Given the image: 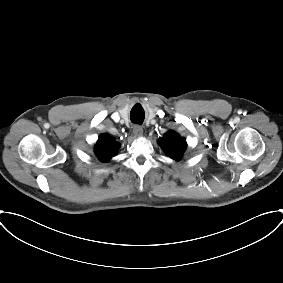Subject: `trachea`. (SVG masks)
<instances>
[{
    "label": "trachea",
    "mask_w": 283,
    "mask_h": 283,
    "mask_svg": "<svg viewBox=\"0 0 283 283\" xmlns=\"http://www.w3.org/2000/svg\"><path fill=\"white\" fill-rule=\"evenodd\" d=\"M130 117L133 123L142 124L144 120V112L142 110L134 109L132 110Z\"/></svg>",
    "instance_id": "1"
}]
</instances>
